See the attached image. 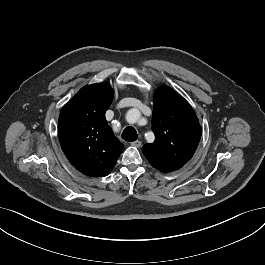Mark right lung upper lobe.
Masks as SVG:
<instances>
[{
  "label": "right lung upper lobe",
  "instance_id": "cb5924a9",
  "mask_svg": "<svg viewBox=\"0 0 265 265\" xmlns=\"http://www.w3.org/2000/svg\"><path fill=\"white\" fill-rule=\"evenodd\" d=\"M113 100L108 83L84 86L61 110L58 135L69 161L83 174L107 176L124 150L105 119Z\"/></svg>",
  "mask_w": 265,
  "mask_h": 265
}]
</instances>
